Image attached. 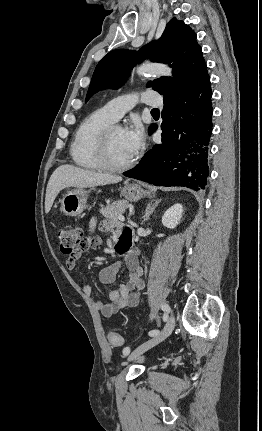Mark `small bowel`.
<instances>
[{
  "instance_id": "obj_1",
  "label": "small bowel",
  "mask_w": 262,
  "mask_h": 431,
  "mask_svg": "<svg viewBox=\"0 0 262 431\" xmlns=\"http://www.w3.org/2000/svg\"><path fill=\"white\" fill-rule=\"evenodd\" d=\"M96 219H92L90 222L91 231L96 226ZM99 227L102 231L114 230L117 238L121 240L125 239V247L130 242L133 230L130 227L124 226L122 224L114 225L110 222L103 221L99 224ZM99 244L91 247V250H98L100 248ZM140 252L137 249L128 250L124 256V264L128 270L129 279L126 284H120L117 288L110 293L109 301L105 302L102 300L96 301V307L101 312V314L110 318L114 314H116L119 310L123 308H133L139 304L140 301V293L144 288V281L142 279V267L139 262ZM78 256L69 257L66 260V266L68 269H73L76 265ZM120 269V263H113L106 268L102 269L99 273L100 280L105 284L114 283L117 273ZM79 289L88 295L92 294V288L88 283L79 282Z\"/></svg>"
}]
</instances>
